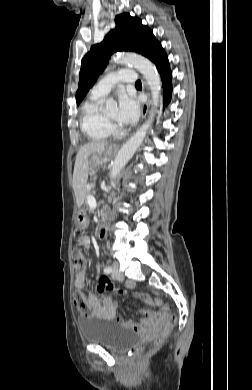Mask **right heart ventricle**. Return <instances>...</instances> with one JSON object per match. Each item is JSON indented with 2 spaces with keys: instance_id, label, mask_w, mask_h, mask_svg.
I'll use <instances>...</instances> for the list:
<instances>
[{
  "instance_id": "1",
  "label": "right heart ventricle",
  "mask_w": 252,
  "mask_h": 390,
  "mask_svg": "<svg viewBox=\"0 0 252 390\" xmlns=\"http://www.w3.org/2000/svg\"><path fill=\"white\" fill-rule=\"evenodd\" d=\"M101 100L91 95L81 108V130L93 141H103L111 136V129L99 109Z\"/></svg>"
}]
</instances>
